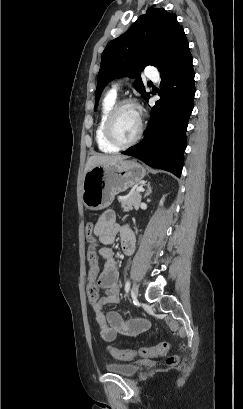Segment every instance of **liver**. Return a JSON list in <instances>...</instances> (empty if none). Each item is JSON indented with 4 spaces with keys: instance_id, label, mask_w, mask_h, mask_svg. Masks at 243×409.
<instances>
[{
    "instance_id": "liver-1",
    "label": "liver",
    "mask_w": 243,
    "mask_h": 409,
    "mask_svg": "<svg viewBox=\"0 0 243 409\" xmlns=\"http://www.w3.org/2000/svg\"><path fill=\"white\" fill-rule=\"evenodd\" d=\"M124 155H93L87 159L85 166V173L94 166L102 165H114L119 161L126 159Z\"/></svg>"
}]
</instances>
